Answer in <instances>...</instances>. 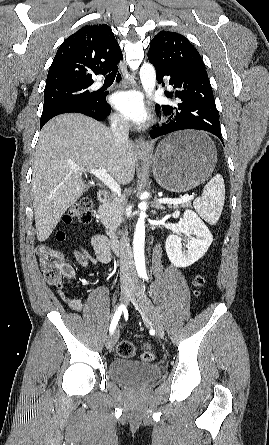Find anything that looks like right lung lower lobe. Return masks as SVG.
<instances>
[{
  "mask_svg": "<svg viewBox=\"0 0 269 445\" xmlns=\"http://www.w3.org/2000/svg\"><path fill=\"white\" fill-rule=\"evenodd\" d=\"M114 71L118 72V67ZM120 80L121 76L120 73L118 72L117 81L119 82ZM106 95L107 93L99 94L97 102L92 104L88 108H74L67 110L64 113H81L89 117H92L98 121H102L107 117L110 111V105L106 101ZM42 127L43 126H40V128Z\"/></svg>",
  "mask_w": 269,
  "mask_h": 445,
  "instance_id": "obj_1",
  "label": "right lung lower lobe"
}]
</instances>
